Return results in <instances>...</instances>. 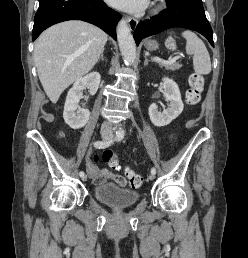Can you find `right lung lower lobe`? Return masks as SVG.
<instances>
[{
	"label": "right lung lower lobe",
	"instance_id": "obj_1",
	"mask_svg": "<svg viewBox=\"0 0 248 258\" xmlns=\"http://www.w3.org/2000/svg\"><path fill=\"white\" fill-rule=\"evenodd\" d=\"M121 15L107 7L103 0H39L34 18L33 41L46 28L66 20L92 23L116 40V25Z\"/></svg>",
	"mask_w": 248,
	"mask_h": 258
}]
</instances>
